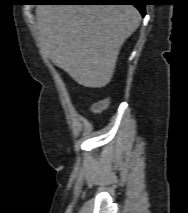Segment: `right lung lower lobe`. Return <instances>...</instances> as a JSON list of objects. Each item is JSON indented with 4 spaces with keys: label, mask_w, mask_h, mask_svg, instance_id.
Wrapping results in <instances>:
<instances>
[{
    "label": "right lung lower lobe",
    "mask_w": 188,
    "mask_h": 213,
    "mask_svg": "<svg viewBox=\"0 0 188 213\" xmlns=\"http://www.w3.org/2000/svg\"><path fill=\"white\" fill-rule=\"evenodd\" d=\"M46 2L62 3H132L136 6L141 14L145 15V4L143 0H47Z\"/></svg>",
    "instance_id": "obj_1"
}]
</instances>
